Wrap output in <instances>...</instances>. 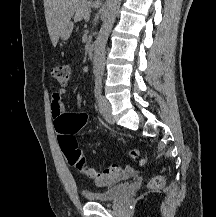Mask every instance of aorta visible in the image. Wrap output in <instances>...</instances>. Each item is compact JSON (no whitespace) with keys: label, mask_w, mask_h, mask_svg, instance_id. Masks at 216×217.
I'll return each instance as SVG.
<instances>
[{"label":"aorta","mask_w":216,"mask_h":217,"mask_svg":"<svg viewBox=\"0 0 216 217\" xmlns=\"http://www.w3.org/2000/svg\"><path fill=\"white\" fill-rule=\"evenodd\" d=\"M122 0H109L108 10L95 41L93 73L96 77H102L105 69V48L112 26L115 22Z\"/></svg>","instance_id":"1"}]
</instances>
